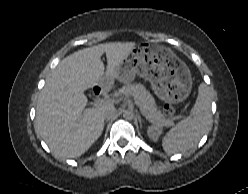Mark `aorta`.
Returning <instances> with one entry per match:
<instances>
[{"label": "aorta", "mask_w": 248, "mask_h": 194, "mask_svg": "<svg viewBox=\"0 0 248 194\" xmlns=\"http://www.w3.org/2000/svg\"><path fill=\"white\" fill-rule=\"evenodd\" d=\"M123 117L126 120H132L134 118V112L132 110H125L123 112Z\"/></svg>", "instance_id": "1"}]
</instances>
